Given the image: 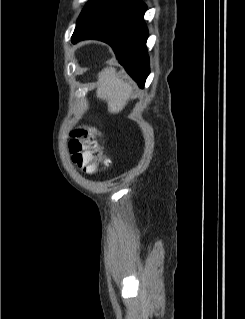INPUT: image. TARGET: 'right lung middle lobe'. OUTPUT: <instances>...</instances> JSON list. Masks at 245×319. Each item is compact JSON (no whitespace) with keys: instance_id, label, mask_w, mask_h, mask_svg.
Listing matches in <instances>:
<instances>
[{"instance_id":"1","label":"right lung middle lobe","mask_w":245,"mask_h":319,"mask_svg":"<svg viewBox=\"0 0 245 319\" xmlns=\"http://www.w3.org/2000/svg\"><path fill=\"white\" fill-rule=\"evenodd\" d=\"M130 0H90L81 15L84 16L83 27H90L102 19L110 16Z\"/></svg>"}]
</instances>
